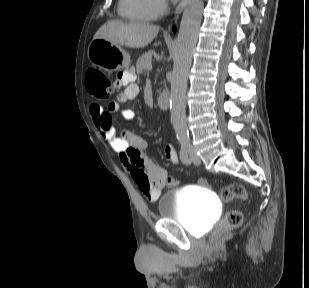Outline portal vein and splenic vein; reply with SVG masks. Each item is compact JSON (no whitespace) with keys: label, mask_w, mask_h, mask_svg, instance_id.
<instances>
[{"label":"portal vein and splenic vein","mask_w":309,"mask_h":288,"mask_svg":"<svg viewBox=\"0 0 309 288\" xmlns=\"http://www.w3.org/2000/svg\"><path fill=\"white\" fill-rule=\"evenodd\" d=\"M152 68V64H149L147 69L150 70Z\"/></svg>","instance_id":"18ae733b"}]
</instances>
